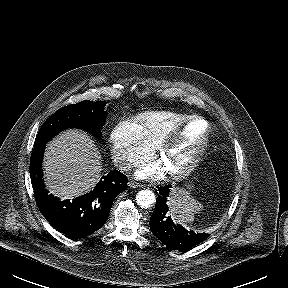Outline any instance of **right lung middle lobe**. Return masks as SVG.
Instances as JSON below:
<instances>
[{
  "instance_id": "obj_1",
  "label": "right lung middle lobe",
  "mask_w": 288,
  "mask_h": 288,
  "mask_svg": "<svg viewBox=\"0 0 288 288\" xmlns=\"http://www.w3.org/2000/svg\"><path fill=\"white\" fill-rule=\"evenodd\" d=\"M105 105L104 101L86 100L61 108L42 125L34 146L46 144L57 133L71 127L84 129L99 137L101 135L100 128L105 122Z\"/></svg>"
}]
</instances>
